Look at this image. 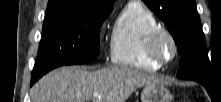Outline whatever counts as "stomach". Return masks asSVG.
<instances>
[{"label": "stomach", "instance_id": "1", "mask_svg": "<svg viewBox=\"0 0 221 102\" xmlns=\"http://www.w3.org/2000/svg\"><path fill=\"white\" fill-rule=\"evenodd\" d=\"M172 94L160 83L145 85L142 94L141 102H171Z\"/></svg>", "mask_w": 221, "mask_h": 102}]
</instances>
